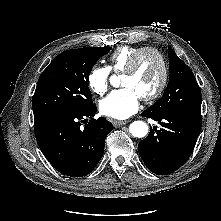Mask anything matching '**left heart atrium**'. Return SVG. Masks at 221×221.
I'll return each mask as SVG.
<instances>
[{
    "label": "left heart atrium",
    "mask_w": 221,
    "mask_h": 221,
    "mask_svg": "<svg viewBox=\"0 0 221 221\" xmlns=\"http://www.w3.org/2000/svg\"><path fill=\"white\" fill-rule=\"evenodd\" d=\"M141 97L130 87L112 91L99 103L100 112L114 119H126L139 108Z\"/></svg>",
    "instance_id": "1"
}]
</instances>
